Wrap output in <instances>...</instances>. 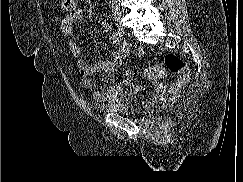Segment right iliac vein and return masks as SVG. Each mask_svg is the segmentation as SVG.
I'll use <instances>...</instances> for the list:
<instances>
[{
    "label": "right iliac vein",
    "mask_w": 243,
    "mask_h": 182,
    "mask_svg": "<svg viewBox=\"0 0 243 182\" xmlns=\"http://www.w3.org/2000/svg\"><path fill=\"white\" fill-rule=\"evenodd\" d=\"M120 29L123 30V27L121 25H119Z\"/></svg>",
    "instance_id": "right-iliac-vein-1"
}]
</instances>
